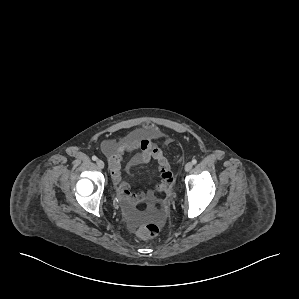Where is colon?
<instances>
[{
	"label": "colon",
	"instance_id": "colon-1",
	"mask_svg": "<svg viewBox=\"0 0 299 299\" xmlns=\"http://www.w3.org/2000/svg\"><path fill=\"white\" fill-rule=\"evenodd\" d=\"M159 232H160V226L158 224L149 223V224L142 226L138 230V235L141 238L148 239V238L157 236L159 234Z\"/></svg>",
	"mask_w": 299,
	"mask_h": 299
}]
</instances>
